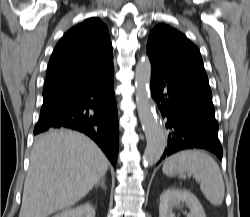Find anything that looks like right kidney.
<instances>
[{"label": "right kidney", "mask_w": 250, "mask_h": 217, "mask_svg": "<svg viewBox=\"0 0 250 217\" xmlns=\"http://www.w3.org/2000/svg\"><path fill=\"white\" fill-rule=\"evenodd\" d=\"M53 217H95V209L86 203L76 208H68Z\"/></svg>", "instance_id": "obj_1"}]
</instances>
